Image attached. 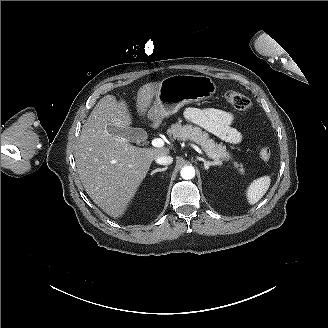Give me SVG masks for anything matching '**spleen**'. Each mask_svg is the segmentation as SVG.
Segmentation results:
<instances>
[{
	"label": "spleen",
	"instance_id": "spleen-1",
	"mask_svg": "<svg viewBox=\"0 0 328 328\" xmlns=\"http://www.w3.org/2000/svg\"><path fill=\"white\" fill-rule=\"evenodd\" d=\"M271 179L269 176H263L254 180L247 189L246 196L249 204L257 203L267 192Z\"/></svg>",
	"mask_w": 328,
	"mask_h": 328
}]
</instances>
